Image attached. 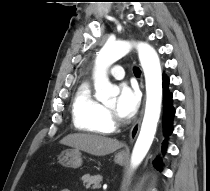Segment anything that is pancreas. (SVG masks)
I'll list each match as a JSON object with an SVG mask.
<instances>
[{
	"instance_id": "pancreas-1",
	"label": "pancreas",
	"mask_w": 210,
	"mask_h": 191,
	"mask_svg": "<svg viewBox=\"0 0 210 191\" xmlns=\"http://www.w3.org/2000/svg\"><path fill=\"white\" fill-rule=\"evenodd\" d=\"M82 181L87 189L95 190L101 187L102 176L100 175L90 176L89 174H85L84 176H82Z\"/></svg>"
}]
</instances>
